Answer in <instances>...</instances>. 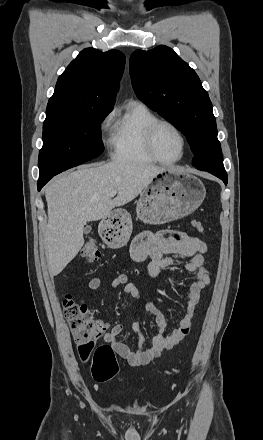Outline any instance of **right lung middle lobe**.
I'll list each match as a JSON object with an SVG mask.
<instances>
[{
  "mask_svg": "<svg viewBox=\"0 0 263 440\" xmlns=\"http://www.w3.org/2000/svg\"><path fill=\"white\" fill-rule=\"evenodd\" d=\"M109 112L46 116L38 159L39 178L53 177L99 156L104 150L101 123Z\"/></svg>",
  "mask_w": 263,
  "mask_h": 440,
  "instance_id": "1",
  "label": "right lung middle lobe"
}]
</instances>
